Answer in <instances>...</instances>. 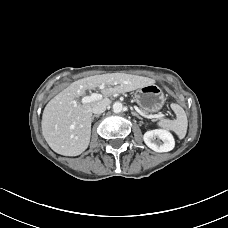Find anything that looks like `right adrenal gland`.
<instances>
[{
    "label": "right adrenal gland",
    "instance_id": "2a0ac1e0",
    "mask_svg": "<svg viewBox=\"0 0 228 228\" xmlns=\"http://www.w3.org/2000/svg\"><path fill=\"white\" fill-rule=\"evenodd\" d=\"M99 116H100L99 114L98 115H93L92 116V121L94 120L95 117H99Z\"/></svg>",
    "mask_w": 228,
    "mask_h": 228
}]
</instances>
